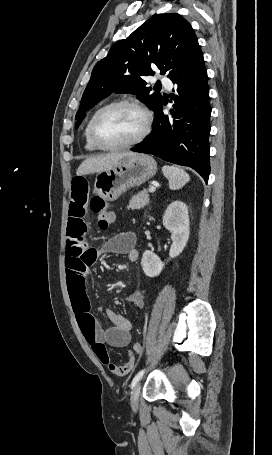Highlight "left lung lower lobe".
<instances>
[{"instance_id":"1","label":"left lung lower lobe","mask_w":272,"mask_h":455,"mask_svg":"<svg viewBox=\"0 0 272 455\" xmlns=\"http://www.w3.org/2000/svg\"><path fill=\"white\" fill-rule=\"evenodd\" d=\"M203 55L170 77L177 84L172 120L163 114V101L156 107L153 132L132 151L153 154L165 161L189 166L207 183L210 173L209 88Z\"/></svg>"}]
</instances>
